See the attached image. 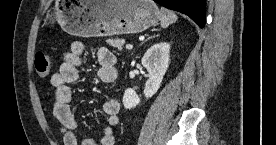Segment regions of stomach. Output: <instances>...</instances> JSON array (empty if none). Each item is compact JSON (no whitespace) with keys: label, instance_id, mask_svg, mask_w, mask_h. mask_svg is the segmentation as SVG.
I'll list each match as a JSON object with an SVG mask.
<instances>
[{"label":"stomach","instance_id":"1","mask_svg":"<svg viewBox=\"0 0 276 145\" xmlns=\"http://www.w3.org/2000/svg\"><path fill=\"white\" fill-rule=\"evenodd\" d=\"M159 20L160 11L152 0H58L45 22L88 38L139 33Z\"/></svg>","mask_w":276,"mask_h":145}]
</instances>
